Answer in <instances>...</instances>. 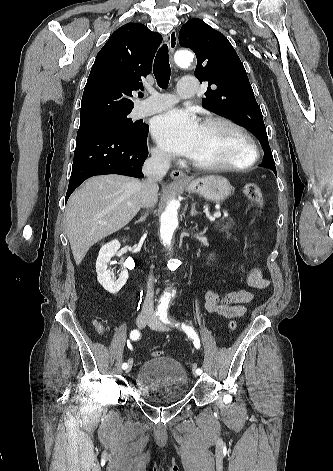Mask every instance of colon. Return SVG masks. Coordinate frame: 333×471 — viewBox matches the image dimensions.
Here are the masks:
<instances>
[{
  "label": "colon",
  "instance_id": "obj_1",
  "mask_svg": "<svg viewBox=\"0 0 333 471\" xmlns=\"http://www.w3.org/2000/svg\"><path fill=\"white\" fill-rule=\"evenodd\" d=\"M243 193L245 197L250 200L258 209L262 210L264 207V198L260 187L254 183H247L243 187ZM96 327L99 332L103 331V325L100 322H96ZM228 328L230 331H234L237 328L236 321L232 320L228 324ZM162 352L154 351L152 352V356L158 357L161 356Z\"/></svg>",
  "mask_w": 333,
  "mask_h": 471
}]
</instances>
